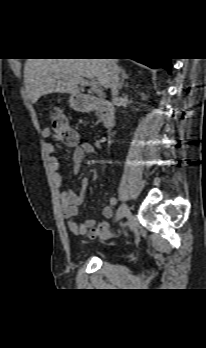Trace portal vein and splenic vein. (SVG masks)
Segmentation results:
<instances>
[{
    "instance_id": "obj_1",
    "label": "portal vein and splenic vein",
    "mask_w": 206,
    "mask_h": 348,
    "mask_svg": "<svg viewBox=\"0 0 206 348\" xmlns=\"http://www.w3.org/2000/svg\"><path fill=\"white\" fill-rule=\"evenodd\" d=\"M76 81L81 86H88V85H90L92 90L95 91V92H100L101 91V85L98 82H96V81L89 82L88 80H85L82 77H79Z\"/></svg>"
}]
</instances>
